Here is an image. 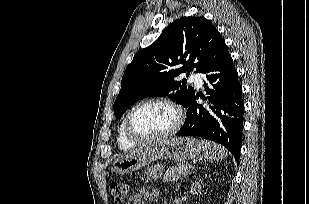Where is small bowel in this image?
Returning <instances> with one entry per match:
<instances>
[{"label": "small bowel", "mask_w": 309, "mask_h": 204, "mask_svg": "<svg viewBox=\"0 0 309 204\" xmlns=\"http://www.w3.org/2000/svg\"><path fill=\"white\" fill-rule=\"evenodd\" d=\"M159 169L158 168H150L144 173V180L145 181H151L156 177V174L158 173ZM140 195L137 194L133 197L132 203L137 204V202L140 200Z\"/></svg>", "instance_id": "c3829d8e"}]
</instances>
